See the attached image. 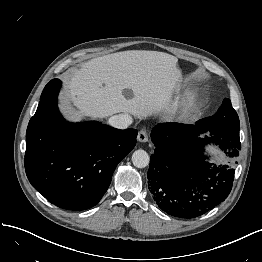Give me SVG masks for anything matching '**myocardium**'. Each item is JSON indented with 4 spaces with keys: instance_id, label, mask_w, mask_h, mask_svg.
I'll return each instance as SVG.
<instances>
[{
    "instance_id": "myocardium-1",
    "label": "myocardium",
    "mask_w": 262,
    "mask_h": 262,
    "mask_svg": "<svg viewBox=\"0 0 262 262\" xmlns=\"http://www.w3.org/2000/svg\"><path fill=\"white\" fill-rule=\"evenodd\" d=\"M196 101V92L192 89L185 91L175 108V112L181 116H187Z\"/></svg>"
}]
</instances>
